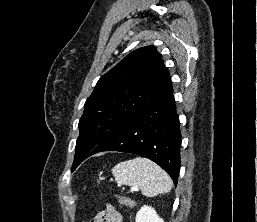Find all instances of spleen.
<instances>
[{
	"label": "spleen",
	"instance_id": "spleen-1",
	"mask_svg": "<svg viewBox=\"0 0 257 222\" xmlns=\"http://www.w3.org/2000/svg\"><path fill=\"white\" fill-rule=\"evenodd\" d=\"M112 174L117 183L139 187L149 197L167 193L172 188L168 174L146 158L137 157L118 163L112 168Z\"/></svg>",
	"mask_w": 257,
	"mask_h": 222
}]
</instances>
